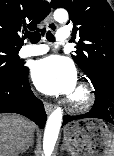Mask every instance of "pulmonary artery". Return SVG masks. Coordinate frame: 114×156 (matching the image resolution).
Returning a JSON list of instances; mask_svg holds the SVG:
<instances>
[{"label": "pulmonary artery", "mask_w": 114, "mask_h": 156, "mask_svg": "<svg viewBox=\"0 0 114 156\" xmlns=\"http://www.w3.org/2000/svg\"><path fill=\"white\" fill-rule=\"evenodd\" d=\"M70 37V32L67 28H61L57 32V39L61 42H66ZM46 45H28L21 49L20 55L22 57H34L46 54L48 52Z\"/></svg>", "instance_id": "1"}]
</instances>
